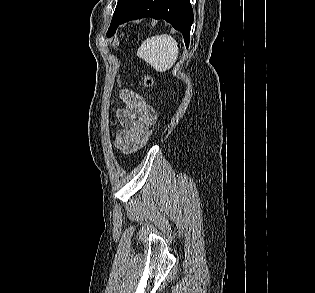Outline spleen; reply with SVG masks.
<instances>
[{"instance_id": "spleen-1", "label": "spleen", "mask_w": 315, "mask_h": 293, "mask_svg": "<svg viewBox=\"0 0 315 293\" xmlns=\"http://www.w3.org/2000/svg\"><path fill=\"white\" fill-rule=\"evenodd\" d=\"M178 53V43L166 34L146 39L137 50V56L158 72L170 69L176 62Z\"/></svg>"}]
</instances>
